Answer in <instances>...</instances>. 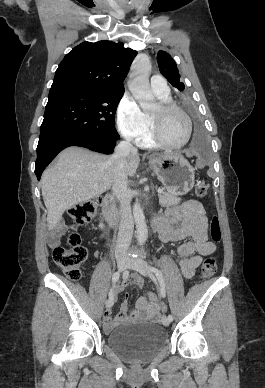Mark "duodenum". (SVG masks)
<instances>
[{"instance_id": "duodenum-1", "label": "duodenum", "mask_w": 265, "mask_h": 388, "mask_svg": "<svg viewBox=\"0 0 265 388\" xmlns=\"http://www.w3.org/2000/svg\"><path fill=\"white\" fill-rule=\"evenodd\" d=\"M102 212L110 227L117 226L119 222V214L115 206V199L112 195H107L103 199ZM151 224L153 229L158 233H160L165 227V224L160 217L153 218Z\"/></svg>"}]
</instances>
